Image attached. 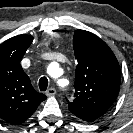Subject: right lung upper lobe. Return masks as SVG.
Returning a JSON list of instances; mask_svg holds the SVG:
<instances>
[{
	"label": "right lung upper lobe",
	"mask_w": 133,
	"mask_h": 133,
	"mask_svg": "<svg viewBox=\"0 0 133 133\" xmlns=\"http://www.w3.org/2000/svg\"><path fill=\"white\" fill-rule=\"evenodd\" d=\"M32 41L30 35H18L0 45V118L15 125L26 121L46 99L34 90L20 65Z\"/></svg>",
	"instance_id": "right-lung-upper-lobe-1"
}]
</instances>
